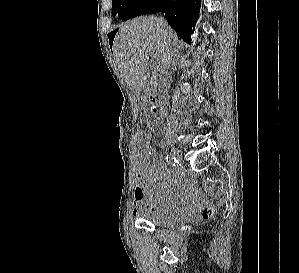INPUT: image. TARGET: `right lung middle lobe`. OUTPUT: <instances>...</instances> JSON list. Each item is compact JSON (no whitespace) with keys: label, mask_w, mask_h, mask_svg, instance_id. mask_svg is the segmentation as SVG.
I'll use <instances>...</instances> for the list:
<instances>
[{"label":"right lung middle lobe","mask_w":299,"mask_h":273,"mask_svg":"<svg viewBox=\"0 0 299 273\" xmlns=\"http://www.w3.org/2000/svg\"><path fill=\"white\" fill-rule=\"evenodd\" d=\"M136 0H112V15L118 14L120 18L134 4Z\"/></svg>","instance_id":"1"}]
</instances>
